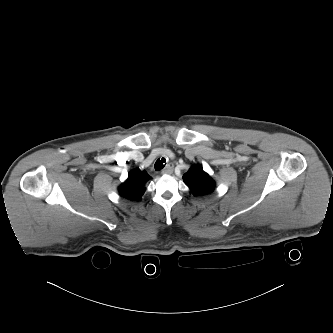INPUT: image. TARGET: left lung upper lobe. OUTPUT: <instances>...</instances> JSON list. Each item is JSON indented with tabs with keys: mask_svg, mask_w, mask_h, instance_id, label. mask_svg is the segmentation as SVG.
<instances>
[{
	"mask_svg": "<svg viewBox=\"0 0 333 333\" xmlns=\"http://www.w3.org/2000/svg\"><path fill=\"white\" fill-rule=\"evenodd\" d=\"M183 181L194 196L211 194L216 187L215 181L203 170L201 165H193L183 175Z\"/></svg>",
	"mask_w": 333,
	"mask_h": 333,
	"instance_id": "5c2ea615",
	"label": "left lung upper lobe"
}]
</instances>
